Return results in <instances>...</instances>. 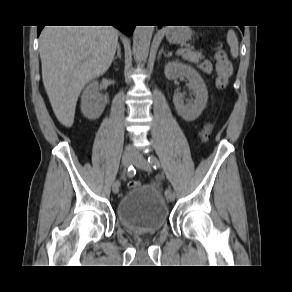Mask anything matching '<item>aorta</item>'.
Instances as JSON below:
<instances>
[{
    "mask_svg": "<svg viewBox=\"0 0 292 292\" xmlns=\"http://www.w3.org/2000/svg\"><path fill=\"white\" fill-rule=\"evenodd\" d=\"M154 26H136L133 33V54L137 62H144L149 53Z\"/></svg>",
    "mask_w": 292,
    "mask_h": 292,
    "instance_id": "obj_1",
    "label": "aorta"
}]
</instances>
